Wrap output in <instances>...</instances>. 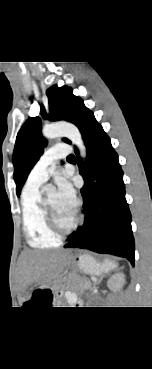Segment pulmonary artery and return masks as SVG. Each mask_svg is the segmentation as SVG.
Returning a JSON list of instances; mask_svg holds the SVG:
<instances>
[{"mask_svg":"<svg viewBox=\"0 0 152 369\" xmlns=\"http://www.w3.org/2000/svg\"><path fill=\"white\" fill-rule=\"evenodd\" d=\"M70 153L71 147L67 144H56L47 149L33 166L26 184L29 186H41L51 175L56 161L66 158Z\"/></svg>","mask_w":152,"mask_h":369,"instance_id":"1","label":"pulmonary artery"}]
</instances>
